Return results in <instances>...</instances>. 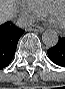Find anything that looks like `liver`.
Masks as SVG:
<instances>
[{
  "mask_svg": "<svg viewBox=\"0 0 65 89\" xmlns=\"http://www.w3.org/2000/svg\"><path fill=\"white\" fill-rule=\"evenodd\" d=\"M15 6L12 0H0V20L1 22L14 16Z\"/></svg>",
  "mask_w": 65,
  "mask_h": 89,
  "instance_id": "liver-1",
  "label": "liver"
}]
</instances>
